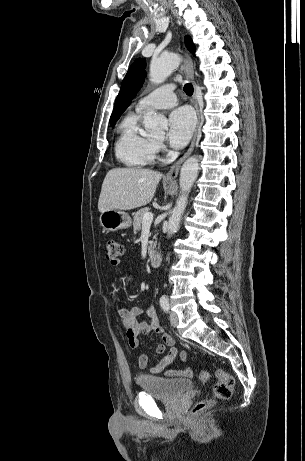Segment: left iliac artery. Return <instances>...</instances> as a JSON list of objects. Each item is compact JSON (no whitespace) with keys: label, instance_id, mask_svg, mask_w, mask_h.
Masks as SVG:
<instances>
[{"label":"left iliac artery","instance_id":"left-iliac-artery-1","mask_svg":"<svg viewBox=\"0 0 305 461\" xmlns=\"http://www.w3.org/2000/svg\"><path fill=\"white\" fill-rule=\"evenodd\" d=\"M160 305L165 312L169 311V302L166 296H161Z\"/></svg>","mask_w":305,"mask_h":461}]
</instances>
